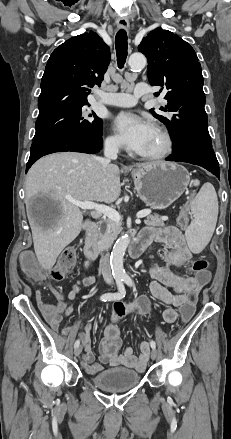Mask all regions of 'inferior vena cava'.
Wrapping results in <instances>:
<instances>
[{
  "label": "inferior vena cava",
  "instance_id": "602c4592",
  "mask_svg": "<svg viewBox=\"0 0 231 439\" xmlns=\"http://www.w3.org/2000/svg\"><path fill=\"white\" fill-rule=\"evenodd\" d=\"M119 150V143L113 140H107L104 144V157L99 158L103 169L105 170L109 165L111 160L117 159V154ZM100 269L105 281L109 282L112 280L111 265L109 261V254L101 257Z\"/></svg>",
  "mask_w": 231,
  "mask_h": 439
}]
</instances>
